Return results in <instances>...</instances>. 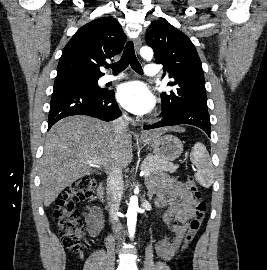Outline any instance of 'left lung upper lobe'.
Listing matches in <instances>:
<instances>
[{"label":"left lung upper lobe","mask_w":267,"mask_h":270,"mask_svg":"<svg viewBox=\"0 0 267 270\" xmlns=\"http://www.w3.org/2000/svg\"><path fill=\"white\" fill-rule=\"evenodd\" d=\"M146 43L154 50L155 61L162 64L168 82L175 89L161 94L162 110L184 107L208 109L201 60L191 40L165 21L152 23L146 31Z\"/></svg>","instance_id":"obj_1"}]
</instances>
